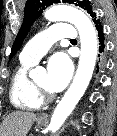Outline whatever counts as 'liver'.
Wrapping results in <instances>:
<instances>
[{
  "label": "liver",
  "instance_id": "6515ba94",
  "mask_svg": "<svg viewBox=\"0 0 117 136\" xmlns=\"http://www.w3.org/2000/svg\"><path fill=\"white\" fill-rule=\"evenodd\" d=\"M36 119L32 112L14 111L2 121L0 136H26Z\"/></svg>",
  "mask_w": 117,
  "mask_h": 136
}]
</instances>
